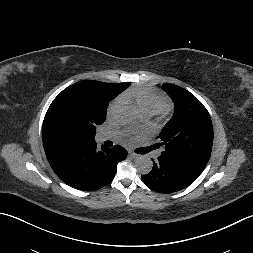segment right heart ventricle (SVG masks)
<instances>
[{
    "label": "right heart ventricle",
    "instance_id": "e07e8e85",
    "mask_svg": "<svg viewBox=\"0 0 253 253\" xmlns=\"http://www.w3.org/2000/svg\"><path fill=\"white\" fill-rule=\"evenodd\" d=\"M122 97L133 100L143 114H155L165 106V100L160 94L144 88L132 89Z\"/></svg>",
    "mask_w": 253,
    "mask_h": 253
}]
</instances>
